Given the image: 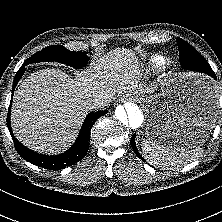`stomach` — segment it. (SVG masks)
Returning a JSON list of instances; mask_svg holds the SVG:
<instances>
[{"label":"stomach","instance_id":"1","mask_svg":"<svg viewBox=\"0 0 222 222\" xmlns=\"http://www.w3.org/2000/svg\"><path fill=\"white\" fill-rule=\"evenodd\" d=\"M147 137L173 148L202 146L217 119V94L209 78L193 73L168 77L143 99Z\"/></svg>","mask_w":222,"mask_h":222}]
</instances>
